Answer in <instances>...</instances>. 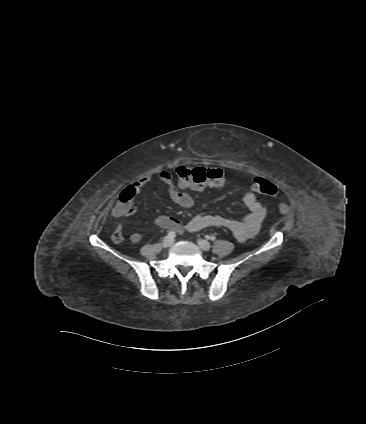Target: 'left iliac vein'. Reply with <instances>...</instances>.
Masks as SVG:
<instances>
[{"label": "left iliac vein", "mask_w": 366, "mask_h": 424, "mask_svg": "<svg viewBox=\"0 0 366 424\" xmlns=\"http://www.w3.org/2000/svg\"><path fill=\"white\" fill-rule=\"evenodd\" d=\"M197 243H198L199 247L204 251H208L211 248V244L206 240L199 239L197 241Z\"/></svg>", "instance_id": "4c4485c4"}]
</instances>
